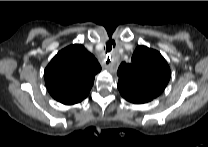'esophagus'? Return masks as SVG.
Returning a JSON list of instances; mask_svg holds the SVG:
<instances>
[{
    "instance_id": "1",
    "label": "esophagus",
    "mask_w": 208,
    "mask_h": 147,
    "mask_svg": "<svg viewBox=\"0 0 208 147\" xmlns=\"http://www.w3.org/2000/svg\"><path fill=\"white\" fill-rule=\"evenodd\" d=\"M103 68H105V69H107V70H109V71H113V69H114V64H113L111 58H107V57H106V58L104 59V62H103Z\"/></svg>"
}]
</instances>
